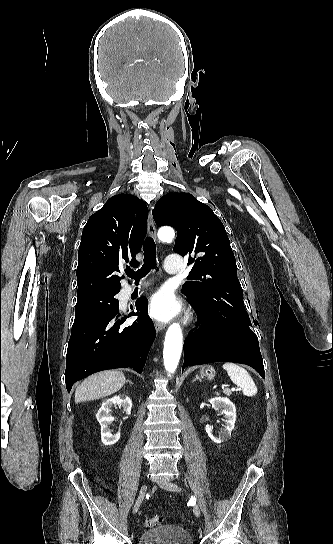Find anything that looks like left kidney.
<instances>
[{"label":"left kidney","mask_w":333,"mask_h":544,"mask_svg":"<svg viewBox=\"0 0 333 544\" xmlns=\"http://www.w3.org/2000/svg\"><path fill=\"white\" fill-rule=\"evenodd\" d=\"M212 404V407L215 410L222 409V414L224 416V428L221 429L218 436H215L212 432V427L206 425L205 430L208 436L214 443L220 444L224 441H228L231 437V431L234 429L236 421V408L235 405L226 397H215L209 400Z\"/></svg>","instance_id":"obj_1"}]
</instances>
